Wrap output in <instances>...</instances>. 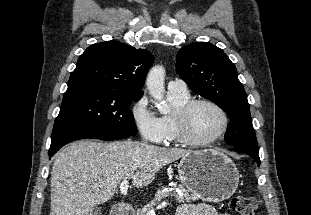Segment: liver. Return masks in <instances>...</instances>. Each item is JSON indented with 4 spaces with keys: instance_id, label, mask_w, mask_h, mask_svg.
<instances>
[{
    "instance_id": "obj_1",
    "label": "liver",
    "mask_w": 311,
    "mask_h": 215,
    "mask_svg": "<svg viewBox=\"0 0 311 215\" xmlns=\"http://www.w3.org/2000/svg\"><path fill=\"white\" fill-rule=\"evenodd\" d=\"M191 152L131 140L73 142L54 159L50 215H90L114 196L122 181L148 186L161 168Z\"/></svg>"
}]
</instances>
